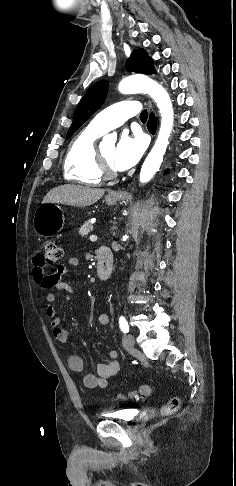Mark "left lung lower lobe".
Returning a JSON list of instances; mask_svg holds the SVG:
<instances>
[{
    "label": "left lung lower lobe",
    "mask_w": 236,
    "mask_h": 486,
    "mask_svg": "<svg viewBox=\"0 0 236 486\" xmlns=\"http://www.w3.org/2000/svg\"><path fill=\"white\" fill-rule=\"evenodd\" d=\"M148 129L150 132L156 130V118L153 113L150 115V120L148 122Z\"/></svg>",
    "instance_id": "1"
}]
</instances>
